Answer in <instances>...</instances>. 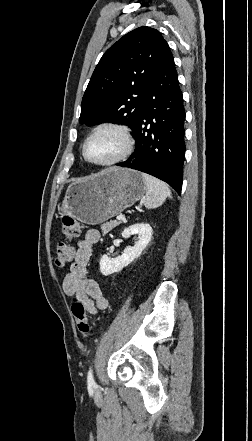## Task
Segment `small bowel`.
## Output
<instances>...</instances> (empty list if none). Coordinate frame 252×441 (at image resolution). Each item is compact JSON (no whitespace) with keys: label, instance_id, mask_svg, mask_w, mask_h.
<instances>
[{"label":"small bowel","instance_id":"c3829d8e","mask_svg":"<svg viewBox=\"0 0 252 441\" xmlns=\"http://www.w3.org/2000/svg\"><path fill=\"white\" fill-rule=\"evenodd\" d=\"M100 233L96 229L86 231L84 238L78 242L73 263L63 280V290L69 296L78 298L90 314H96L108 306L99 284L87 277L93 246L99 241Z\"/></svg>","mask_w":252,"mask_h":441}]
</instances>
